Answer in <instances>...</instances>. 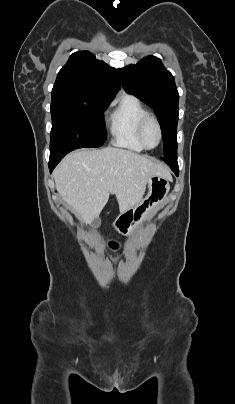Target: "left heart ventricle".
Returning a JSON list of instances; mask_svg holds the SVG:
<instances>
[{
	"label": "left heart ventricle",
	"instance_id": "obj_1",
	"mask_svg": "<svg viewBox=\"0 0 235 404\" xmlns=\"http://www.w3.org/2000/svg\"><path fill=\"white\" fill-rule=\"evenodd\" d=\"M144 139L147 145L155 146L158 141L157 127L153 122H149L144 130Z\"/></svg>",
	"mask_w": 235,
	"mask_h": 404
}]
</instances>
